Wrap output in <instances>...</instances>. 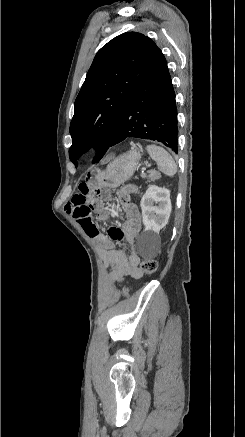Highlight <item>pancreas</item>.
Listing matches in <instances>:
<instances>
[{
    "instance_id": "pancreas-1",
    "label": "pancreas",
    "mask_w": 245,
    "mask_h": 437,
    "mask_svg": "<svg viewBox=\"0 0 245 437\" xmlns=\"http://www.w3.org/2000/svg\"><path fill=\"white\" fill-rule=\"evenodd\" d=\"M160 177H161L160 173H158L156 170H149L148 175L147 174L142 175V178H147L151 181L158 180Z\"/></svg>"
}]
</instances>
